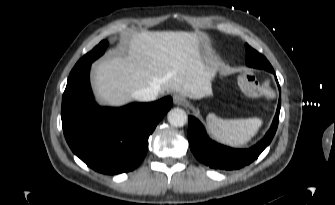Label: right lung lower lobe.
<instances>
[{"label":"right lung lower lobe","instance_id":"right-lung-lower-lobe-1","mask_svg":"<svg viewBox=\"0 0 335 205\" xmlns=\"http://www.w3.org/2000/svg\"><path fill=\"white\" fill-rule=\"evenodd\" d=\"M90 66L68 78L61 109L64 136L74 154L95 171H132L144 159L148 138L171 108L172 98L122 108L100 107L91 94Z\"/></svg>","mask_w":335,"mask_h":205}]
</instances>
